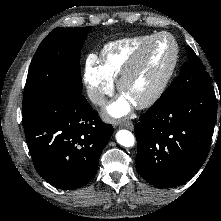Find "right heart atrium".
Listing matches in <instances>:
<instances>
[{"instance_id":"obj_1","label":"right heart atrium","mask_w":221,"mask_h":221,"mask_svg":"<svg viewBox=\"0 0 221 221\" xmlns=\"http://www.w3.org/2000/svg\"><path fill=\"white\" fill-rule=\"evenodd\" d=\"M84 82L90 101L97 106H103L114 90L113 81L104 74L93 56L85 62Z\"/></svg>"}]
</instances>
